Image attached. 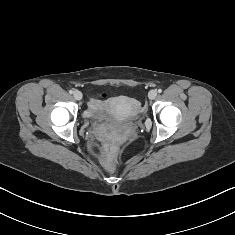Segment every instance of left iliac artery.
I'll return each instance as SVG.
<instances>
[{"mask_svg":"<svg viewBox=\"0 0 235 235\" xmlns=\"http://www.w3.org/2000/svg\"><path fill=\"white\" fill-rule=\"evenodd\" d=\"M162 92V89H158V93H161Z\"/></svg>","mask_w":235,"mask_h":235,"instance_id":"left-iliac-artery-1","label":"left iliac artery"}]
</instances>
